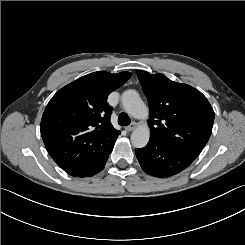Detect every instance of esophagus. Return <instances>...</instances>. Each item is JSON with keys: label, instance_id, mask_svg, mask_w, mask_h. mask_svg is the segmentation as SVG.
Returning a JSON list of instances; mask_svg holds the SVG:
<instances>
[{"label": "esophagus", "instance_id": "1", "mask_svg": "<svg viewBox=\"0 0 245 245\" xmlns=\"http://www.w3.org/2000/svg\"><path fill=\"white\" fill-rule=\"evenodd\" d=\"M136 127H137L136 122H132V123L130 124V126L125 127V130L128 131V132H131V131L135 130Z\"/></svg>", "mask_w": 245, "mask_h": 245}]
</instances>
